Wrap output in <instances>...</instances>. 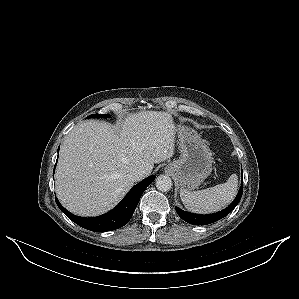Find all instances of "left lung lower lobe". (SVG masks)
Here are the masks:
<instances>
[{"label": "left lung lower lobe", "mask_w": 299, "mask_h": 299, "mask_svg": "<svg viewBox=\"0 0 299 299\" xmlns=\"http://www.w3.org/2000/svg\"><path fill=\"white\" fill-rule=\"evenodd\" d=\"M242 193H243V176H242L241 187L239 189L237 197L226 209H224L222 211H219V212L213 213V214L199 215V214H192L189 212H185L178 207H176L175 209H176V212L178 213V215L184 221H186L190 224H193V225H207V224L216 222V221L224 218L226 215H228L239 203Z\"/></svg>", "instance_id": "left-lung-lower-lobe-1"}]
</instances>
